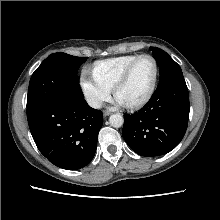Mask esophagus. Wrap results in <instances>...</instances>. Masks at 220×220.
Instances as JSON below:
<instances>
[{
	"label": "esophagus",
	"mask_w": 220,
	"mask_h": 220,
	"mask_svg": "<svg viewBox=\"0 0 220 220\" xmlns=\"http://www.w3.org/2000/svg\"><path fill=\"white\" fill-rule=\"evenodd\" d=\"M110 114H111V113H110L109 111H104V112H103V116H104V117H107V116H109Z\"/></svg>",
	"instance_id": "1"
}]
</instances>
